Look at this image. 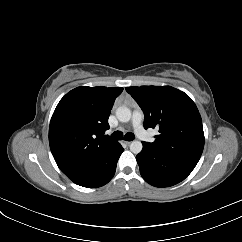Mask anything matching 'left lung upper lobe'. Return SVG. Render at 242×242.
<instances>
[{
    "instance_id": "obj_1",
    "label": "left lung upper lobe",
    "mask_w": 242,
    "mask_h": 242,
    "mask_svg": "<svg viewBox=\"0 0 242 242\" xmlns=\"http://www.w3.org/2000/svg\"><path fill=\"white\" fill-rule=\"evenodd\" d=\"M126 91L144 112V127L159 135L146 145L163 155L197 163L204 148L201 116L191 98L171 86H134Z\"/></svg>"
}]
</instances>
